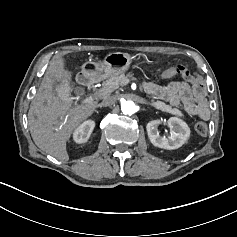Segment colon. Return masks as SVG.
Returning <instances> with one entry per match:
<instances>
[{"label": "colon", "instance_id": "1", "mask_svg": "<svg viewBox=\"0 0 237 237\" xmlns=\"http://www.w3.org/2000/svg\"><path fill=\"white\" fill-rule=\"evenodd\" d=\"M175 72L183 77L185 80H191L194 76L191 73V71L184 67V66H177L175 69ZM195 130L200 135H206L208 132V125L206 122H197L195 125Z\"/></svg>", "mask_w": 237, "mask_h": 237}]
</instances>
